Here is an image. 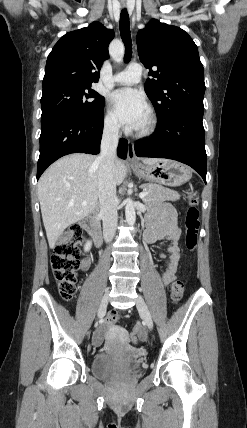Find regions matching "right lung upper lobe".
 I'll return each mask as SVG.
<instances>
[{"mask_svg": "<svg viewBox=\"0 0 247 428\" xmlns=\"http://www.w3.org/2000/svg\"><path fill=\"white\" fill-rule=\"evenodd\" d=\"M113 38V30L99 22L61 37L47 59L43 92L62 86H91L97 82V70L108 58V45Z\"/></svg>", "mask_w": 247, "mask_h": 428, "instance_id": "right-lung-upper-lobe-1", "label": "right lung upper lobe"}]
</instances>
